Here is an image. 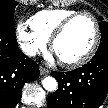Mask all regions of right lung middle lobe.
<instances>
[{"label":"right lung middle lobe","instance_id":"1","mask_svg":"<svg viewBox=\"0 0 108 108\" xmlns=\"http://www.w3.org/2000/svg\"><path fill=\"white\" fill-rule=\"evenodd\" d=\"M18 2L14 0H0V27L14 28V12Z\"/></svg>","mask_w":108,"mask_h":108}]
</instances>
